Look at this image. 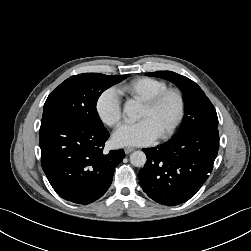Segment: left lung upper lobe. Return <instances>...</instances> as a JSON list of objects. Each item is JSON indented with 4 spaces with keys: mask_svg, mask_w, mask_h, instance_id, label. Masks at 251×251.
I'll return each mask as SVG.
<instances>
[{
    "mask_svg": "<svg viewBox=\"0 0 251 251\" xmlns=\"http://www.w3.org/2000/svg\"><path fill=\"white\" fill-rule=\"evenodd\" d=\"M171 81L182 91L185 98V115L182 124L172 139L199 129H217L218 117L214 106L203 90L189 78L172 71L147 73Z\"/></svg>",
    "mask_w": 251,
    "mask_h": 251,
    "instance_id": "5c2ea615",
    "label": "left lung upper lobe"
}]
</instances>
